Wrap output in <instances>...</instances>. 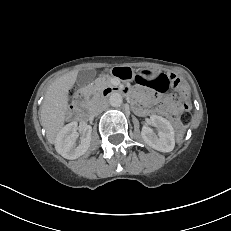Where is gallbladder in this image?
I'll use <instances>...</instances> for the list:
<instances>
[{
  "label": "gallbladder",
  "instance_id": "gallbladder-1",
  "mask_svg": "<svg viewBox=\"0 0 231 231\" xmlns=\"http://www.w3.org/2000/svg\"><path fill=\"white\" fill-rule=\"evenodd\" d=\"M94 76L93 70L84 69L81 70L77 75V84L84 85L88 83Z\"/></svg>",
  "mask_w": 231,
  "mask_h": 231
}]
</instances>
